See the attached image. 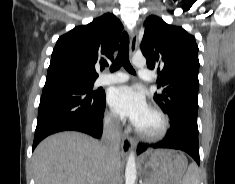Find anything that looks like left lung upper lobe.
Returning <instances> with one entry per match:
<instances>
[{
    "label": "left lung upper lobe",
    "instance_id": "5c2ea615",
    "mask_svg": "<svg viewBox=\"0 0 235 184\" xmlns=\"http://www.w3.org/2000/svg\"><path fill=\"white\" fill-rule=\"evenodd\" d=\"M144 24L141 51L148 68L160 76L161 93L154 100L169 117L185 113L197 119L199 60L194 36L154 15Z\"/></svg>",
    "mask_w": 235,
    "mask_h": 184
}]
</instances>
